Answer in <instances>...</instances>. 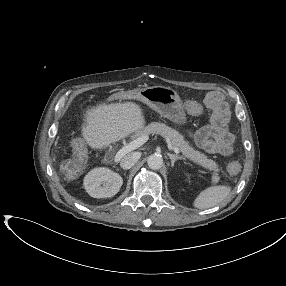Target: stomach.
<instances>
[{"label": "stomach", "mask_w": 286, "mask_h": 286, "mask_svg": "<svg viewBox=\"0 0 286 286\" xmlns=\"http://www.w3.org/2000/svg\"><path fill=\"white\" fill-rule=\"evenodd\" d=\"M139 99L161 116L183 125L187 118L178 93L170 87L151 86L138 90Z\"/></svg>", "instance_id": "1"}]
</instances>
